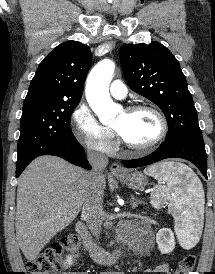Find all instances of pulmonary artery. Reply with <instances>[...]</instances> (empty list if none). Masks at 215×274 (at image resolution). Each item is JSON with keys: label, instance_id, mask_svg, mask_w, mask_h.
<instances>
[{"label": "pulmonary artery", "instance_id": "1", "mask_svg": "<svg viewBox=\"0 0 215 274\" xmlns=\"http://www.w3.org/2000/svg\"><path fill=\"white\" fill-rule=\"evenodd\" d=\"M110 94L116 99H123L127 95V88L120 80H114L110 85Z\"/></svg>", "mask_w": 215, "mask_h": 274}]
</instances>
